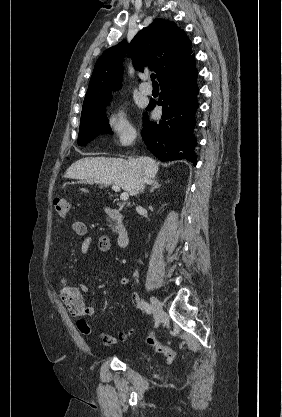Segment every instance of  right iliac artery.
I'll use <instances>...</instances> for the list:
<instances>
[{
	"mask_svg": "<svg viewBox=\"0 0 282 417\" xmlns=\"http://www.w3.org/2000/svg\"><path fill=\"white\" fill-rule=\"evenodd\" d=\"M138 307L141 310H144L148 314L152 313V308H151L150 304H148L147 302H145L143 300L138 301Z\"/></svg>",
	"mask_w": 282,
	"mask_h": 417,
	"instance_id": "right-iliac-artery-1",
	"label": "right iliac artery"
}]
</instances>
